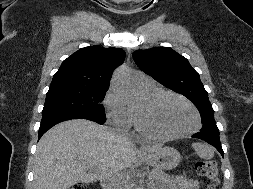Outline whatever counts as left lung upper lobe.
<instances>
[{"mask_svg":"<svg viewBox=\"0 0 253 189\" xmlns=\"http://www.w3.org/2000/svg\"><path fill=\"white\" fill-rule=\"evenodd\" d=\"M136 64L162 85L187 97L199 110L203 122L201 131L219 132L214 110L199 74L188 60L169 47L137 50L133 53Z\"/></svg>","mask_w":253,"mask_h":189,"instance_id":"obj_1","label":"left lung upper lobe"}]
</instances>
